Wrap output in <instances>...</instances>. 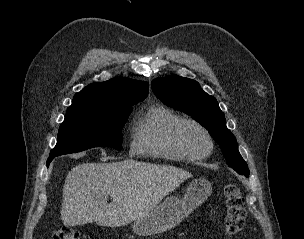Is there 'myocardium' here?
<instances>
[{
    "label": "myocardium",
    "instance_id": "1",
    "mask_svg": "<svg viewBox=\"0 0 304 239\" xmlns=\"http://www.w3.org/2000/svg\"><path fill=\"white\" fill-rule=\"evenodd\" d=\"M192 125L199 128L208 140V148L204 152L195 153L190 151L183 143L181 133L184 127ZM171 141L174 147L186 158L190 160H200L208 157L214 149V139L211 132L206 126L195 119H181L171 130Z\"/></svg>",
    "mask_w": 304,
    "mask_h": 239
}]
</instances>
